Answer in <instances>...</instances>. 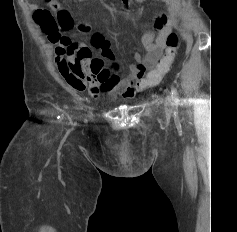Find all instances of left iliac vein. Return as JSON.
<instances>
[{
    "instance_id": "obj_1",
    "label": "left iliac vein",
    "mask_w": 237,
    "mask_h": 232,
    "mask_svg": "<svg viewBox=\"0 0 237 232\" xmlns=\"http://www.w3.org/2000/svg\"><path fill=\"white\" fill-rule=\"evenodd\" d=\"M165 105L167 109H170L171 106V98L168 96L165 101Z\"/></svg>"
}]
</instances>
